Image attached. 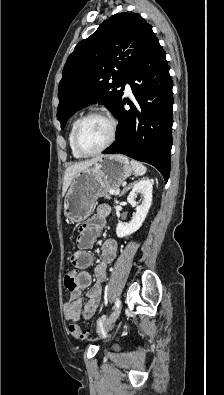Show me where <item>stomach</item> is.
<instances>
[{"instance_id": "0dacf381", "label": "stomach", "mask_w": 224, "mask_h": 395, "mask_svg": "<svg viewBox=\"0 0 224 395\" xmlns=\"http://www.w3.org/2000/svg\"><path fill=\"white\" fill-rule=\"evenodd\" d=\"M132 174L123 155L102 156L93 166L78 172L64 199V215L72 223L84 221L95 201L109 189L118 188Z\"/></svg>"}]
</instances>
